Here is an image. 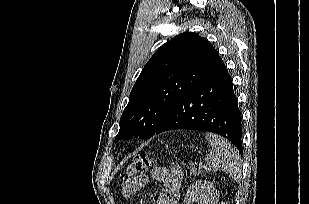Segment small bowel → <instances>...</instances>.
<instances>
[{
    "label": "small bowel",
    "instance_id": "c3829d8e",
    "mask_svg": "<svg viewBox=\"0 0 309 204\" xmlns=\"http://www.w3.org/2000/svg\"><path fill=\"white\" fill-rule=\"evenodd\" d=\"M150 179L163 183V192L153 199V204H177L183 173L178 165L170 167L158 166L148 174H141L123 185V194L131 197L141 191Z\"/></svg>",
    "mask_w": 309,
    "mask_h": 204
}]
</instances>
